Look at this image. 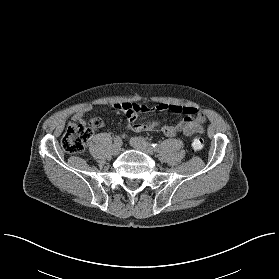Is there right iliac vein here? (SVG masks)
<instances>
[{"label": "right iliac vein", "mask_w": 279, "mask_h": 279, "mask_svg": "<svg viewBox=\"0 0 279 279\" xmlns=\"http://www.w3.org/2000/svg\"><path fill=\"white\" fill-rule=\"evenodd\" d=\"M121 152V145L114 144L112 147V154L118 155Z\"/></svg>", "instance_id": "63e3f726"}]
</instances>
